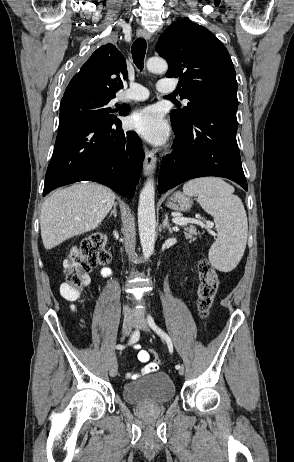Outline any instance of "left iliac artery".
Returning a JSON list of instances; mask_svg holds the SVG:
<instances>
[{
  "label": "left iliac artery",
  "mask_w": 294,
  "mask_h": 462,
  "mask_svg": "<svg viewBox=\"0 0 294 462\" xmlns=\"http://www.w3.org/2000/svg\"><path fill=\"white\" fill-rule=\"evenodd\" d=\"M148 324L149 326L162 338L164 339L166 342H167V345H168V355L169 356H172L173 355V344H172V341L170 339V337L164 332L162 331L155 323L154 319L151 317V316H148ZM181 367L180 364L176 365L175 368L176 369H179Z\"/></svg>",
  "instance_id": "44dca946"
}]
</instances>
